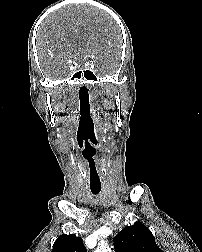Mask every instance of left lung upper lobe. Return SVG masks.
<instances>
[{
	"label": "left lung upper lobe",
	"mask_w": 202,
	"mask_h": 252,
	"mask_svg": "<svg viewBox=\"0 0 202 252\" xmlns=\"http://www.w3.org/2000/svg\"><path fill=\"white\" fill-rule=\"evenodd\" d=\"M116 252H163L151 231L141 222L125 227L114 238Z\"/></svg>",
	"instance_id": "1"
}]
</instances>
